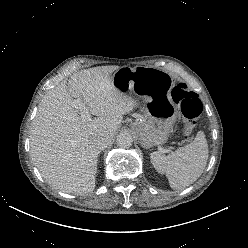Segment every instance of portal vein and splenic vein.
<instances>
[{
    "instance_id": "1",
    "label": "portal vein and splenic vein",
    "mask_w": 248,
    "mask_h": 248,
    "mask_svg": "<svg viewBox=\"0 0 248 248\" xmlns=\"http://www.w3.org/2000/svg\"><path fill=\"white\" fill-rule=\"evenodd\" d=\"M77 102L80 105V108L82 109V111H81V117L90 120V118H91L90 112L87 109H85V107H83L81 105V102L80 101H77Z\"/></svg>"
}]
</instances>
